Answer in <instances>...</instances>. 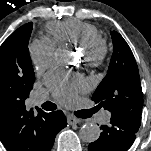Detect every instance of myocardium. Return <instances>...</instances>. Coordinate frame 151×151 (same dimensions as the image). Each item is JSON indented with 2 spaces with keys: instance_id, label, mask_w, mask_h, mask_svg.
<instances>
[{
  "instance_id": "myocardium-1",
  "label": "myocardium",
  "mask_w": 151,
  "mask_h": 151,
  "mask_svg": "<svg viewBox=\"0 0 151 151\" xmlns=\"http://www.w3.org/2000/svg\"><path fill=\"white\" fill-rule=\"evenodd\" d=\"M107 46L103 39L97 37L82 47L83 62L87 67H100L107 57Z\"/></svg>"
}]
</instances>
